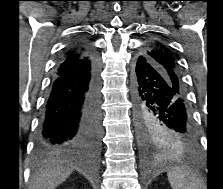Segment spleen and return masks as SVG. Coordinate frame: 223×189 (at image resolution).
<instances>
[{
  "label": "spleen",
  "mask_w": 223,
  "mask_h": 189,
  "mask_svg": "<svg viewBox=\"0 0 223 189\" xmlns=\"http://www.w3.org/2000/svg\"><path fill=\"white\" fill-rule=\"evenodd\" d=\"M167 175L173 189H199L195 174L184 167L173 168Z\"/></svg>",
  "instance_id": "obj_1"
}]
</instances>
